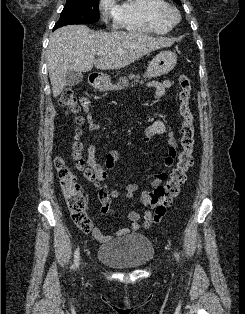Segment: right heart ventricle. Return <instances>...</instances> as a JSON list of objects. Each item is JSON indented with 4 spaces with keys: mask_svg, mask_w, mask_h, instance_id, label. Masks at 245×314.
<instances>
[{
    "mask_svg": "<svg viewBox=\"0 0 245 314\" xmlns=\"http://www.w3.org/2000/svg\"><path fill=\"white\" fill-rule=\"evenodd\" d=\"M164 3V0H123L117 6L115 22L130 32L166 34L172 24L158 14Z\"/></svg>",
    "mask_w": 245,
    "mask_h": 314,
    "instance_id": "1",
    "label": "right heart ventricle"
}]
</instances>
